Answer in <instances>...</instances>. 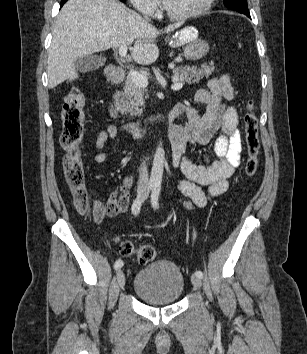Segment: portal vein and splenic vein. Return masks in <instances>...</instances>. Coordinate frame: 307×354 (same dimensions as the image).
<instances>
[{
    "instance_id": "18ae733b",
    "label": "portal vein and splenic vein",
    "mask_w": 307,
    "mask_h": 354,
    "mask_svg": "<svg viewBox=\"0 0 307 354\" xmlns=\"http://www.w3.org/2000/svg\"><path fill=\"white\" fill-rule=\"evenodd\" d=\"M127 50L128 47L126 45H123L119 48V56L121 59H125L127 56ZM129 75L131 76L132 80L134 81V83L141 87V88H145L148 86V79L143 76L142 74L138 73L137 71H135L134 69L130 70ZM174 84L171 86V88L173 90H180L183 87V84L180 82H177L176 80H173Z\"/></svg>"
}]
</instances>
